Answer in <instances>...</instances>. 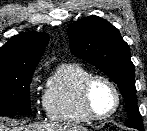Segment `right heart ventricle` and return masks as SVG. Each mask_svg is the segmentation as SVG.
<instances>
[{
  "instance_id": "right-heart-ventricle-1",
  "label": "right heart ventricle",
  "mask_w": 147,
  "mask_h": 131,
  "mask_svg": "<svg viewBox=\"0 0 147 131\" xmlns=\"http://www.w3.org/2000/svg\"><path fill=\"white\" fill-rule=\"evenodd\" d=\"M91 72L81 64H62L48 82L44 96L48 117L56 122L81 124L90 119L81 103V88Z\"/></svg>"
}]
</instances>
